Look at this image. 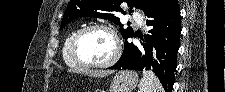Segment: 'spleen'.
Returning a JSON list of instances; mask_svg holds the SVG:
<instances>
[{"label": "spleen", "instance_id": "1", "mask_svg": "<svg viewBox=\"0 0 225 92\" xmlns=\"http://www.w3.org/2000/svg\"><path fill=\"white\" fill-rule=\"evenodd\" d=\"M138 92H164V89L153 72L143 71Z\"/></svg>", "mask_w": 225, "mask_h": 92}]
</instances>
